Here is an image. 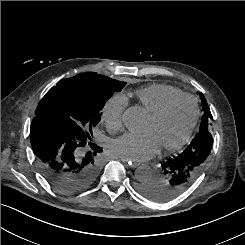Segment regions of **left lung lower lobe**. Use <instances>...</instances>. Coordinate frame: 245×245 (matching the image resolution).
<instances>
[{
  "mask_svg": "<svg viewBox=\"0 0 245 245\" xmlns=\"http://www.w3.org/2000/svg\"><path fill=\"white\" fill-rule=\"evenodd\" d=\"M210 132L197 135L187 148L161 163L160 173L139 186L140 192L156 202L174 199L197 179L212 149Z\"/></svg>",
  "mask_w": 245,
  "mask_h": 245,
  "instance_id": "obj_1",
  "label": "left lung lower lobe"
}]
</instances>
